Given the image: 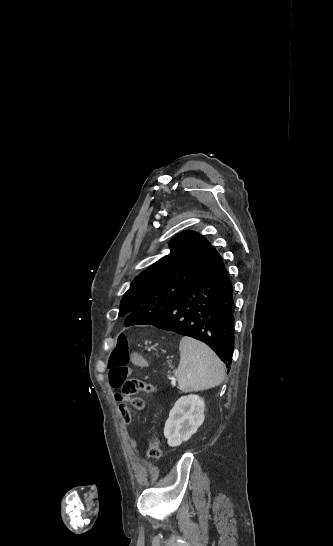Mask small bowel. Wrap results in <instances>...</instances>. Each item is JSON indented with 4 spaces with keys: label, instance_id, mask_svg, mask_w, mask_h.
<instances>
[{
    "label": "small bowel",
    "instance_id": "small-bowel-1",
    "mask_svg": "<svg viewBox=\"0 0 333 546\" xmlns=\"http://www.w3.org/2000/svg\"><path fill=\"white\" fill-rule=\"evenodd\" d=\"M131 365H134L137 372H146L148 369V364L145 355L139 348H134L132 354L129 358ZM116 399L119 401L118 409L121 411V415L124 417V426L129 427L131 425L132 416L130 415L131 409L126 404V399L121 398L120 395H116ZM126 404V405H125ZM135 445V442H133Z\"/></svg>",
    "mask_w": 333,
    "mask_h": 546
}]
</instances>
